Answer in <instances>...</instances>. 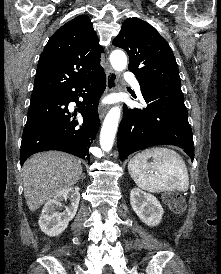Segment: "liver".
<instances>
[{
	"mask_svg": "<svg viewBox=\"0 0 221 274\" xmlns=\"http://www.w3.org/2000/svg\"><path fill=\"white\" fill-rule=\"evenodd\" d=\"M81 161L58 151L31 156L23 166L24 196L30 211L39 209L47 200L80 179Z\"/></svg>",
	"mask_w": 221,
	"mask_h": 274,
	"instance_id": "obj_1",
	"label": "liver"
}]
</instances>
